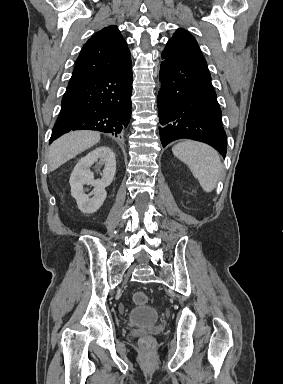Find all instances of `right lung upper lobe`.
<instances>
[{"label": "right lung upper lobe", "mask_w": 283, "mask_h": 384, "mask_svg": "<svg viewBox=\"0 0 283 384\" xmlns=\"http://www.w3.org/2000/svg\"><path fill=\"white\" fill-rule=\"evenodd\" d=\"M131 65L130 52L118 27L111 25L94 34L83 46L69 84Z\"/></svg>", "instance_id": "obj_1"}]
</instances>
